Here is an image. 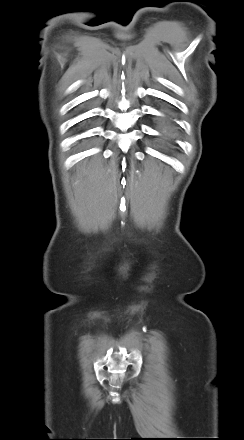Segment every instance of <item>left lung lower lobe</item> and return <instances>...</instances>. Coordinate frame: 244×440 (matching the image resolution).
I'll list each match as a JSON object with an SVG mask.
<instances>
[{
    "label": "left lung lower lobe",
    "mask_w": 244,
    "mask_h": 440,
    "mask_svg": "<svg viewBox=\"0 0 244 440\" xmlns=\"http://www.w3.org/2000/svg\"><path fill=\"white\" fill-rule=\"evenodd\" d=\"M160 127L165 135H171L174 130V122L172 116L168 112H164V116L160 119Z\"/></svg>",
    "instance_id": "1"
}]
</instances>
